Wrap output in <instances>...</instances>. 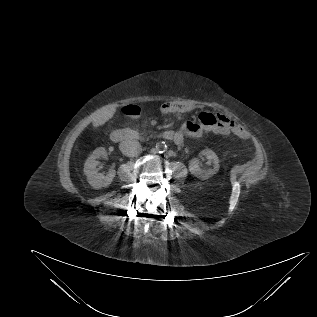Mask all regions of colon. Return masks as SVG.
<instances>
[{"mask_svg": "<svg viewBox=\"0 0 317 317\" xmlns=\"http://www.w3.org/2000/svg\"><path fill=\"white\" fill-rule=\"evenodd\" d=\"M126 113L129 115H138L140 113V109L137 106H129L126 108ZM199 119L201 123L207 126H213L219 122L218 114L211 112L200 113Z\"/></svg>", "mask_w": 317, "mask_h": 317, "instance_id": "1", "label": "colon"}]
</instances>
